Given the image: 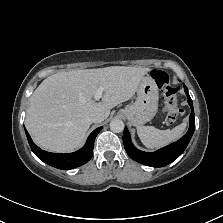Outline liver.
<instances>
[{"label": "liver", "mask_w": 223, "mask_h": 223, "mask_svg": "<svg viewBox=\"0 0 223 223\" xmlns=\"http://www.w3.org/2000/svg\"><path fill=\"white\" fill-rule=\"evenodd\" d=\"M149 68L112 66L60 72L47 77L30 97L25 126L33 142L54 153L80 149L90 128V113L107 118L110 109L127 101ZM106 87L102 102L91 98Z\"/></svg>", "instance_id": "obj_1"}]
</instances>
